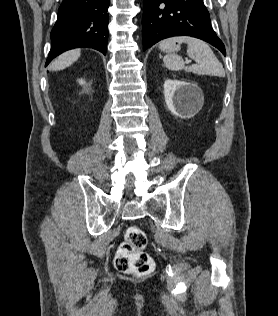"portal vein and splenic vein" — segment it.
Masks as SVG:
<instances>
[{
	"instance_id": "portal-vein-and-splenic-vein-1",
	"label": "portal vein and splenic vein",
	"mask_w": 278,
	"mask_h": 316,
	"mask_svg": "<svg viewBox=\"0 0 278 316\" xmlns=\"http://www.w3.org/2000/svg\"><path fill=\"white\" fill-rule=\"evenodd\" d=\"M190 62H191V60H188V59L186 60V63H187V64L190 63Z\"/></svg>"
}]
</instances>
